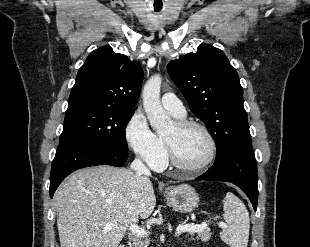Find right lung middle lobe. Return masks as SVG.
<instances>
[{
  "label": "right lung middle lobe",
  "instance_id": "obj_1",
  "mask_svg": "<svg viewBox=\"0 0 310 247\" xmlns=\"http://www.w3.org/2000/svg\"><path fill=\"white\" fill-rule=\"evenodd\" d=\"M133 114L134 111L108 108L68 109L65 113L59 145L80 141L127 151L125 128Z\"/></svg>",
  "mask_w": 310,
  "mask_h": 247
}]
</instances>
